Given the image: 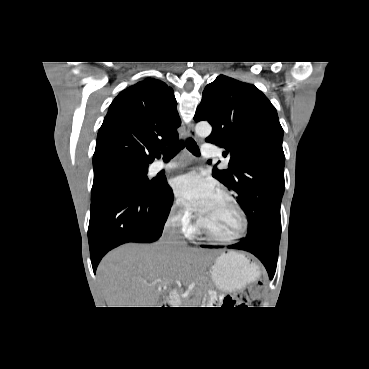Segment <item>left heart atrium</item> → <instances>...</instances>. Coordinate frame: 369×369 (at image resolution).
I'll list each match as a JSON object with an SVG mask.
<instances>
[{
    "label": "left heart atrium",
    "instance_id": "39dd6f15",
    "mask_svg": "<svg viewBox=\"0 0 369 369\" xmlns=\"http://www.w3.org/2000/svg\"><path fill=\"white\" fill-rule=\"evenodd\" d=\"M173 189L183 204L200 215L207 210L217 195L214 183L196 172L176 177Z\"/></svg>",
    "mask_w": 369,
    "mask_h": 369
}]
</instances>
